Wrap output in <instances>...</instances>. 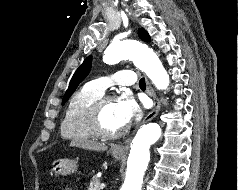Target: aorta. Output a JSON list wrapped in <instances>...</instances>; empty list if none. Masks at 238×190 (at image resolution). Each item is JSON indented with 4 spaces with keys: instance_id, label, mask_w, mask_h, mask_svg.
<instances>
[{
    "instance_id": "762f6f07",
    "label": "aorta",
    "mask_w": 238,
    "mask_h": 190,
    "mask_svg": "<svg viewBox=\"0 0 238 190\" xmlns=\"http://www.w3.org/2000/svg\"><path fill=\"white\" fill-rule=\"evenodd\" d=\"M128 59L146 73L157 89L168 88L169 75L158 56L147 45L136 40H119L112 42L105 50L104 62L107 64ZM160 137L161 128L157 123L140 127L131 144L126 178L120 190H141L143 176L150 160L149 149Z\"/></svg>"
}]
</instances>
